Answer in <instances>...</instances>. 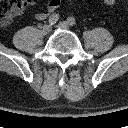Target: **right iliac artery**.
I'll return each mask as SVG.
<instances>
[{"label": "right iliac artery", "instance_id": "82829eb1", "mask_svg": "<svg viewBox=\"0 0 128 128\" xmlns=\"http://www.w3.org/2000/svg\"><path fill=\"white\" fill-rule=\"evenodd\" d=\"M58 20H59V14H52L49 17L48 22H49L50 25H54Z\"/></svg>", "mask_w": 128, "mask_h": 128}]
</instances>
